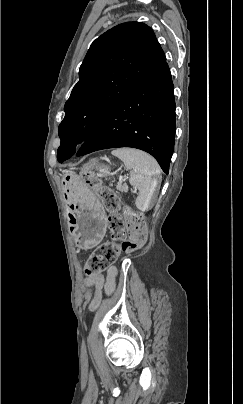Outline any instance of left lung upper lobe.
Instances as JSON below:
<instances>
[{
	"label": "left lung upper lobe",
	"instance_id": "left-lung-upper-lobe-1",
	"mask_svg": "<svg viewBox=\"0 0 243 404\" xmlns=\"http://www.w3.org/2000/svg\"><path fill=\"white\" fill-rule=\"evenodd\" d=\"M165 62L153 30L144 23H122L98 37L80 66V79L64 107L58 161L72 157L77 144L86 140L106 112Z\"/></svg>",
	"mask_w": 243,
	"mask_h": 404
}]
</instances>
